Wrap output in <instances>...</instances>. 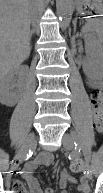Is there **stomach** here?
I'll return each instance as SVG.
<instances>
[{
    "instance_id": "obj_1",
    "label": "stomach",
    "mask_w": 103,
    "mask_h": 193,
    "mask_svg": "<svg viewBox=\"0 0 103 193\" xmlns=\"http://www.w3.org/2000/svg\"><path fill=\"white\" fill-rule=\"evenodd\" d=\"M77 10L81 14L101 13L103 0H76Z\"/></svg>"
}]
</instances>
